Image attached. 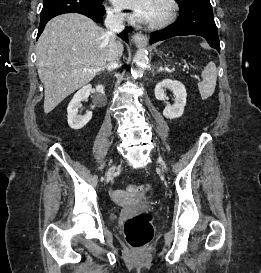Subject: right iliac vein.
<instances>
[{
	"label": "right iliac vein",
	"mask_w": 261,
	"mask_h": 273,
	"mask_svg": "<svg viewBox=\"0 0 261 273\" xmlns=\"http://www.w3.org/2000/svg\"><path fill=\"white\" fill-rule=\"evenodd\" d=\"M114 171H115V166H111V167L108 169L107 174H106V180H107V181L111 178V176H112V174L114 173Z\"/></svg>",
	"instance_id": "obj_1"
}]
</instances>
